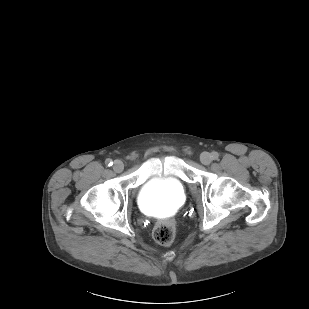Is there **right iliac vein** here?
<instances>
[{"label": "right iliac vein", "mask_w": 309, "mask_h": 309, "mask_svg": "<svg viewBox=\"0 0 309 309\" xmlns=\"http://www.w3.org/2000/svg\"><path fill=\"white\" fill-rule=\"evenodd\" d=\"M123 169H124V164H123L122 161H120V160L114 161L113 170H114L115 172L120 173V172L123 171Z\"/></svg>", "instance_id": "obj_1"}]
</instances>
